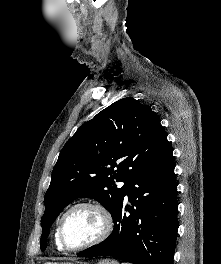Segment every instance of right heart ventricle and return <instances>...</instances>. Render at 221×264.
Masks as SVG:
<instances>
[{"mask_svg":"<svg viewBox=\"0 0 221 264\" xmlns=\"http://www.w3.org/2000/svg\"><path fill=\"white\" fill-rule=\"evenodd\" d=\"M54 242H55L56 248H57L58 250H63V248H62V246L60 245L59 240H58L57 229H56V232H55V235H54Z\"/></svg>","mask_w":221,"mask_h":264,"instance_id":"right-heart-ventricle-1","label":"right heart ventricle"}]
</instances>
